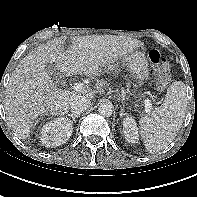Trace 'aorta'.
I'll return each instance as SVG.
<instances>
[{
    "label": "aorta",
    "instance_id": "obj_1",
    "mask_svg": "<svg viewBox=\"0 0 197 197\" xmlns=\"http://www.w3.org/2000/svg\"><path fill=\"white\" fill-rule=\"evenodd\" d=\"M98 111L102 116L110 117L113 113V105L110 102L101 103Z\"/></svg>",
    "mask_w": 197,
    "mask_h": 197
}]
</instances>
